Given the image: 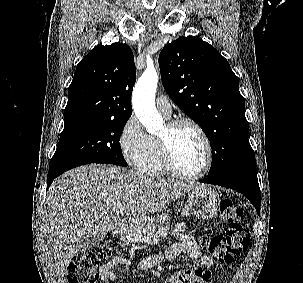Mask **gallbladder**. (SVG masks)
I'll return each mask as SVG.
<instances>
[{
  "label": "gallbladder",
  "instance_id": "gallbladder-1",
  "mask_svg": "<svg viewBox=\"0 0 303 283\" xmlns=\"http://www.w3.org/2000/svg\"><path fill=\"white\" fill-rule=\"evenodd\" d=\"M103 240V235H85L80 240V250H87Z\"/></svg>",
  "mask_w": 303,
  "mask_h": 283
}]
</instances>
